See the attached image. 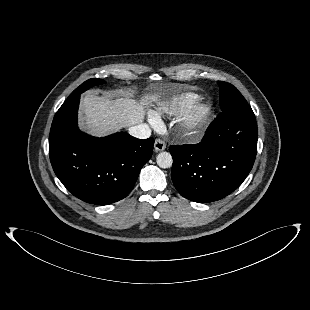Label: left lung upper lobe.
Segmentation results:
<instances>
[{
	"mask_svg": "<svg viewBox=\"0 0 310 310\" xmlns=\"http://www.w3.org/2000/svg\"><path fill=\"white\" fill-rule=\"evenodd\" d=\"M220 86V108L222 112L232 111L247 106L241 93L230 83L218 81Z\"/></svg>",
	"mask_w": 310,
	"mask_h": 310,
	"instance_id": "obj_1",
	"label": "left lung upper lobe"
}]
</instances>
